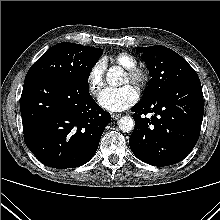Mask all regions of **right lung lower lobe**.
I'll list each match as a JSON object with an SVG mask.
<instances>
[{"label": "right lung lower lobe", "instance_id": "1", "mask_svg": "<svg viewBox=\"0 0 220 220\" xmlns=\"http://www.w3.org/2000/svg\"><path fill=\"white\" fill-rule=\"evenodd\" d=\"M24 139L46 166L75 168L96 153L111 121L85 82L36 78L24 82L20 100Z\"/></svg>", "mask_w": 220, "mask_h": 220}]
</instances>
